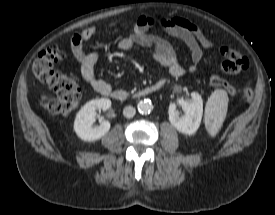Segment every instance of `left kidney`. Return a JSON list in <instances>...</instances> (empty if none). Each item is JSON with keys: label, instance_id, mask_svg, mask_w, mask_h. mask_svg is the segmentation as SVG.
<instances>
[{"label": "left kidney", "instance_id": "left-kidney-1", "mask_svg": "<svg viewBox=\"0 0 275 215\" xmlns=\"http://www.w3.org/2000/svg\"><path fill=\"white\" fill-rule=\"evenodd\" d=\"M192 99L187 101L179 99L178 103L184 111V115L179 116L176 105L169 106V121L181 133L192 135L200 126L203 114V100L197 92L191 93Z\"/></svg>", "mask_w": 275, "mask_h": 215}]
</instances>
